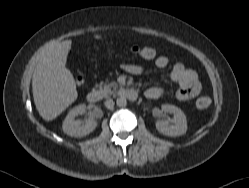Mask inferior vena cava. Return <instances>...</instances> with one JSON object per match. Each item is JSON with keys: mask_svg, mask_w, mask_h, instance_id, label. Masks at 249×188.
<instances>
[{"mask_svg": "<svg viewBox=\"0 0 249 188\" xmlns=\"http://www.w3.org/2000/svg\"><path fill=\"white\" fill-rule=\"evenodd\" d=\"M104 105L108 109H113L114 107V101L112 99H108L104 102Z\"/></svg>", "mask_w": 249, "mask_h": 188, "instance_id": "1", "label": "inferior vena cava"}]
</instances>
